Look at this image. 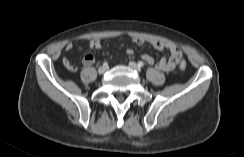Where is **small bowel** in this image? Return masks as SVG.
I'll return each mask as SVG.
<instances>
[{"label": "small bowel", "mask_w": 244, "mask_h": 157, "mask_svg": "<svg viewBox=\"0 0 244 157\" xmlns=\"http://www.w3.org/2000/svg\"><path fill=\"white\" fill-rule=\"evenodd\" d=\"M132 42L136 45H142L145 43V40L142 38H133ZM150 45L154 47L157 50H166L169 52V55L162 58L160 61L155 62V60L148 54H142L141 58L149 65H154L158 70L164 71V72H171L173 71L180 59L182 58V52L179 49V47L171 42H163V41H156V40H151L149 41ZM89 47L91 49H100L102 47V41L98 38H94L89 41ZM73 48L72 44H67L65 47V51L69 52ZM127 54L132 55L133 50L132 49H127L126 50ZM95 62V57L91 53H87L84 55L82 59V63L84 66H91ZM63 64L64 66L71 70L74 71L76 67L71 68L72 64L69 62L67 58L63 59Z\"/></svg>", "instance_id": "small-bowel-1"}]
</instances>
